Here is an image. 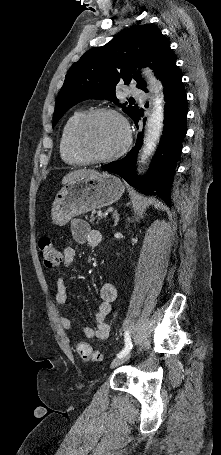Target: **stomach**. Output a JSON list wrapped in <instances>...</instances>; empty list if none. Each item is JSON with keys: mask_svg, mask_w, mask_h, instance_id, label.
<instances>
[{"mask_svg": "<svg viewBox=\"0 0 221 455\" xmlns=\"http://www.w3.org/2000/svg\"><path fill=\"white\" fill-rule=\"evenodd\" d=\"M124 190L122 181L109 173L75 179L57 193L51 209L52 221L64 226L75 216L113 204Z\"/></svg>", "mask_w": 221, "mask_h": 455, "instance_id": "1", "label": "stomach"}]
</instances>
